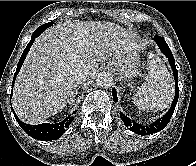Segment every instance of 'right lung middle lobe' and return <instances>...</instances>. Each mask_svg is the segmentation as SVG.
<instances>
[{
    "mask_svg": "<svg viewBox=\"0 0 196 166\" xmlns=\"http://www.w3.org/2000/svg\"><path fill=\"white\" fill-rule=\"evenodd\" d=\"M53 25V22H48L46 24H43L42 26L38 27L35 32H39V33H42L46 28L50 27Z\"/></svg>",
    "mask_w": 196,
    "mask_h": 166,
    "instance_id": "1",
    "label": "right lung middle lobe"
}]
</instances>
